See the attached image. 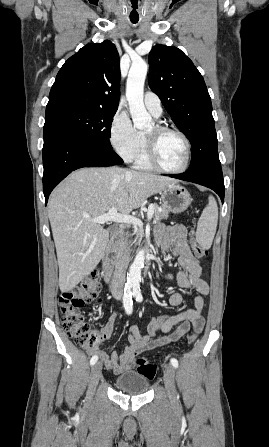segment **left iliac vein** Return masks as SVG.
<instances>
[{"label": "left iliac vein", "instance_id": "1", "mask_svg": "<svg viewBox=\"0 0 269 447\" xmlns=\"http://www.w3.org/2000/svg\"><path fill=\"white\" fill-rule=\"evenodd\" d=\"M165 371H164V384L166 387V391H167V395L169 398L170 403H175L176 402V388H175V384H174V377H175V369L172 365L170 364H165Z\"/></svg>", "mask_w": 269, "mask_h": 447}]
</instances>
